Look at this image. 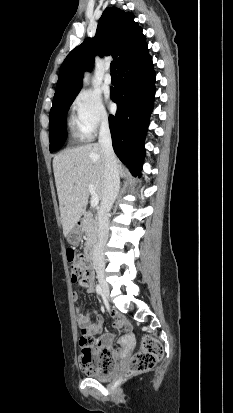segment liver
<instances>
[{
    "label": "liver",
    "instance_id": "obj_1",
    "mask_svg": "<svg viewBox=\"0 0 233 413\" xmlns=\"http://www.w3.org/2000/svg\"><path fill=\"white\" fill-rule=\"evenodd\" d=\"M120 174L124 169L117 160ZM104 152L100 144L92 143L68 148L53 159L63 235L68 236L86 210L88 185L92 184L102 199L104 188Z\"/></svg>",
    "mask_w": 233,
    "mask_h": 413
}]
</instances>
